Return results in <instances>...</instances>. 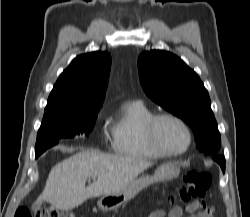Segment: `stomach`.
<instances>
[{
	"instance_id": "stomach-1",
	"label": "stomach",
	"mask_w": 250,
	"mask_h": 217,
	"mask_svg": "<svg viewBox=\"0 0 250 217\" xmlns=\"http://www.w3.org/2000/svg\"><path fill=\"white\" fill-rule=\"evenodd\" d=\"M179 174V168L176 164L167 163L161 165L151 177L136 178L126 189L110 194L104 195L98 201V207L102 211H111L117 209L133 199L141 190L148 185L172 179Z\"/></svg>"
}]
</instances>
